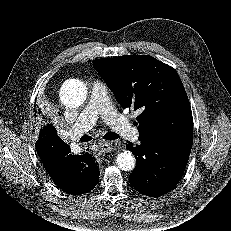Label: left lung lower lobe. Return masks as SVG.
I'll use <instances>...</instances> for the list:
<instances>
[{
	"instance_id": "1",
	"label": "left lung lower lobe",
	"mask_w": 231,
	"mask_h": 231,
	"mask_svg": "<svg viewBox=\"0 0 231 231\" xmlns=\"http://www.w3.org/2000/svg\"><path fill=\"white\" fill-rule=\"evenodd\" d=\"M126 148L135 154L136 167L129 176L131 185L149 197H159L171 191L180 181L190 151L173 149L158 141H141Z\"/></svg>"
}]
</instances>
